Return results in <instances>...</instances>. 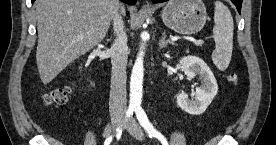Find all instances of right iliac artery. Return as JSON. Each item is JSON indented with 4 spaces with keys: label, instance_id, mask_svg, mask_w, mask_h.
Listing matches in <instances>:
<instances>
[{
    "label": "right iliac artery",
    "instance_id": "obj_1",
    "mask_svg": "<svg viewBox=\"0 0 276 145\" xmlns=\"http://www.w3.org/2000/svg\"><path fill=\"white\" fill-rule=\"evenodd\" d=\"M134 111H135V109L133 107H129L127 109L126 114H125V120H124V122H126L133 115ZM116 131H117L118 135H121V133H122V125L119 126ZM111 141H112V136H109L104 141V145H109L111 143Z\"/></svg>",
    "mask_w": 276,
    "mask_h": 145
}]
</instances>
